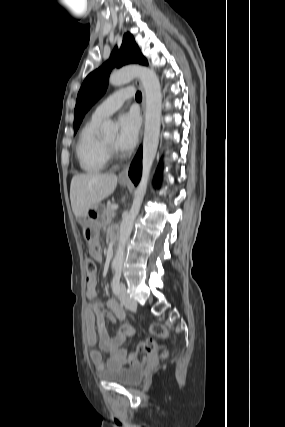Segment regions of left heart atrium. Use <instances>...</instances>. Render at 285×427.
<instances>
[{"label": "left heart atrium", "mask_w": 285, "mask_h": 427, "mask_svg": "<svg viewBox=\"0 0 285 427\" xmlns=\"http://www.w3.org/2000/svg\"><path fill=\"white\" fill-rule=\"evenodd\" d=\"M119 134L116 138V147L121 151H129L137 141L139 119L134 113H125L119 117Z\"/></svg>", "instance_id": "1"}]
</instances>
